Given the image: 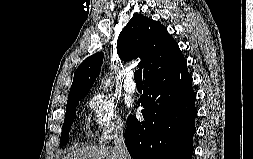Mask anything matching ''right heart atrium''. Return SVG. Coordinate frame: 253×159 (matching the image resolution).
<instances>
[{
    "label": "right heart atrium",
    "mask_w": 253,
    "mask_h": 159,
    "mask_svg": "<svg viewBox=\"0 0 253 159\" xmlns=\"http://www.w3.org/2000/svg\"><path fill=\"white\" fill-rule=\"evenodd\" d=\"M96 136L101 142L121 133L124 121L117 104L103 93H95L88 100Z\"/></svg>",
    "instance_id": "d8ad5b80"
}]
</instances>
